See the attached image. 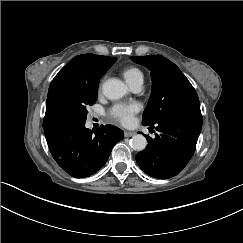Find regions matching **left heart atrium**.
Masks as SVG:
<instances>
[{
    "label": "left heart atrium",
    "mask_w": 243,
    "mask_h": 243,
    "mask_svg": "<svg viewBox=\"0 0 243 243\" xmlns=\"http://www.w3.org/2000/svg\"><path fill=\"white\" fill-rule=\"evenodd\" d=\"M140 110L141 105L136 101L117 103L109 109L108 115L121 123H129L133 120L134 115Z\"/></svg>",
    "instance_id": "39dd6f15"
}]
</instances>
